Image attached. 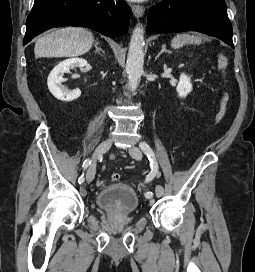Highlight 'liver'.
<instances>
[{
    "label": "liver",
    "instance_id": "6515ba94",
    "mask_svg": "<svg viewBox=\"0 0 255 272\" xmlns=\"http://www.w3.org/2000/svg\"><path fill=\"white\" fill-rule=\"evenodd\" d=\"M93 42L92 32L80 27H66L38 38L34 54L36 58L79 56L88 52Z\"/></svg>",
    "mask_w": 255,
    "mask_h": 272
}]
</instances>
